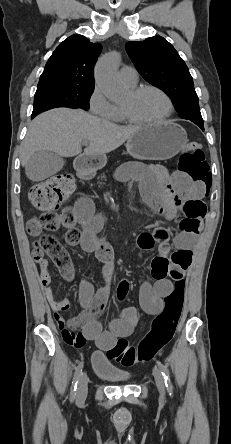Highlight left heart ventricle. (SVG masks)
Listing matches in <instances>:
<instances>
[{
	"label": "left heart ventricle",
	"mask_w": 231,
	"mask_h": 444,
	"mask_svg": "<svg viewBox=\"0 0 231 444\" xmlns=\"http://www.w3.org/2000/svg\"><path fill=\"white\" fill-rule=\"evenodd\" d=\"M122 105L130 108L135 117L141 120H156L168 110L164 97L152 90L144 91L137 97L129 93Z\"/></svg>",
	"instance_id": "obj_1"
}]
</instances>
